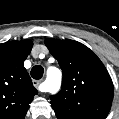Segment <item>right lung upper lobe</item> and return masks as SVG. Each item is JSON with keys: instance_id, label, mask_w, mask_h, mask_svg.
Listing matches in <instances>:
<instances>
[{"instance_id": "1", "label": "right lung upper lobe", "mask_w": 119, "mask_h": 119, "mask_svg": "<svg viewBox=\"0 0 119 119\" xmlns=\"http://www.w3.org/2000/svg\"><path fill=\"white\" fill-rule=\"evenodd\" d=\"M32 46L29 39L0 44V119H24L38 93L23 66Z\"/></svg>"}]
</instances>
